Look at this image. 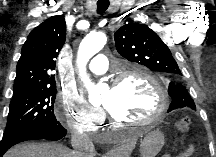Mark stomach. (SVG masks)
I'll return each mask as SVG.
<instances>
[{
  "label": "stomach",
  "instance_id": "1",
  "mask_svg": "<svg viewBox=\"0 0 216 157\" xmlns=\"http://www.w3.org/2000/svg\"><path fill=\"white\" fill-rule=\"evenodd\" d=\"M164 144V135L159 130L145 133L140 144V157H155Z\"/></svg>",
  "mask_w": 216,
  "mask_h": 157
}]
</instances>
